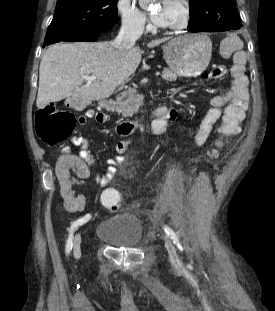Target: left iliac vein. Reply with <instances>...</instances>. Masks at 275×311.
Returning a JSON list of instances; mask_svg holds the SVG:
<instances>
[{
	"mask_svg": "<svg viewBox=\"0 0 275 311\" xmlns=\"http://www.w3.org/2000/svg\"><path fill=\"white\" fill-rule=\"evenodd\" d=\"M163 238L165 241V247H166L168 254H169L170 262L176 267H179V268L182 267V262L177 255V251H176V248H175L173 242L167 236H164Z\"/></svg>",
	"mask_w": 275,
	"mask_h": 311,
	"instance_id": "1",
	"label": "left iliac vein"
}]
</instances>
